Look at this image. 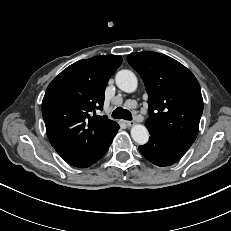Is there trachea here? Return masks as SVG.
Returning <instances> with one entry per match:
<instances>
[{
    "instance_id": "trachea-1",
    "label": "trachea",
    "mask_w": 231,
    "mask_h": 231,
    "mask_svg": "<svg viewBox=\"0 0 231 231\" xmlns=\"http://www.w3.org/2000/svg\"><path fill=\"white\" fill-rule=\"evenodd\" d=\"M112 117L114 119L132 120V115L130 111H128L127 109H123L122 107L116 108L112 113Z\"/></svg>"
}]
</instances>
